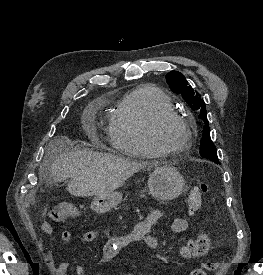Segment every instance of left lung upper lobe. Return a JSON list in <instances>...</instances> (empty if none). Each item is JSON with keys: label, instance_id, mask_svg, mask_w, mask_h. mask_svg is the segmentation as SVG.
<instances>
[{"label": "left lung upper lobe", "instance_id": "5c2ea615", "mask_svg": "<svg viewBox=\"0 0 263 275\" xmlns=\"http://www.w3.org/2000/svg\"><path fill=\"white\" fill-rule=\"evenodd\" d=\"M166 81L171 90L176 94H181L185 102L191 106L192 110L196 111L198 117L205 123L203 129L202 140L200 142V155L217 164H220L215 145L210 138V128L208 126L207 111L204 101L200 95L194 92L193 88L188 85L184 75L178 71H171L166 75Z\"/></svg>", "mask_w": 263, "mask_h": 275}]
</instances>
